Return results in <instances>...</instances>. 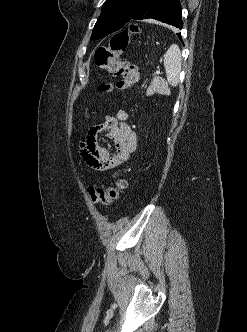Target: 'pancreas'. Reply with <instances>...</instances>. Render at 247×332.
Returning a JSON list of instances; mask_svg holds the SVG:
<instances>
[{"mask_svg":"<svg viewBox=\"0 0 247 332\" xmlns=\"http://www.w3.org/2000/svg\"><path fill=\"white\" fill-rule=\"evenodd\" d=\"M161 85H162L161 78L155 76L152 83H151V85L147 89V95L151 96L154 93H156L157 91H159V88H160Z\"/></svg>","mask_w":247,"mask_h":332,"instance_id":"cf45deb5","label":"pancreas"}]
</instances>
